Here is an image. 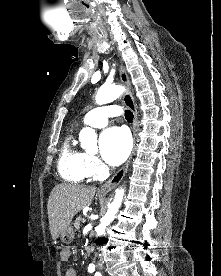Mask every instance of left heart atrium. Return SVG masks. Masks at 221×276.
Wrapping results in <instances>:
<instances>
[{
    "label": "left heart atrium",
    "instance_id": "1",
    "mask_svg": "<svg viewBox=\"0 0 221 276\" xmlns=\"http://www.w3.org/2000/svg\"><path fill=\"white\" fill-rule=\"evenodd\" d=\"M131 151V140L128 132L119 127L105 130L100 137V154L110 165L123 163Z\"/></svg>",
    "mask_w": 221,
    "mask_h": 276
}]
</instances>
